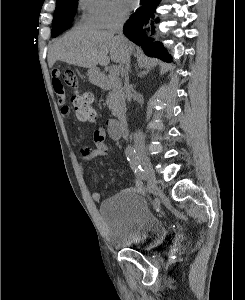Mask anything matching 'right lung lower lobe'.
Masks as SVG:
<instances>
[{"label": "right lung lower lobe", "mask_w": 245, "mask_h": 300, "mask_svg": "<svg viewBox=\"0 0 245 300\" xmlns=\"http://www.w3.org/2000/svg\"><path fill=\"white\" fill-rule=\"evenodd\" d=\"M160 0H141V7L133 13L124 24V35L135 44L141 46L145 54L151 57H158L165 61H172V57L167 54L159 42H152L146 37L150 26L153 32L155 19V8ZM70 25L64 29H68Z\"/></svg>", "instance_id": "right-lung-lower-lobe-1"}]
</instances>
